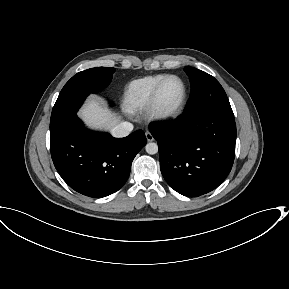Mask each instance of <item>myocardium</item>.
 <instances>
[{
	"label": "myocardium",
	"mask_w": 289,
	"mask_h": 289,
	"mask_svg": "<svg viewBox=\"0 0 289 289\" xmlns=\"http://www.w3.org/2000/svg\"><path fill=\"white\" fill-rule=\"evenodd\" d=\"M170 79H176L178 80L181 85H182V97L180 99V101L173 107L171 108H164L161 104H160V95H161V91L162 88L164 86V84L170 80ZM187 95H188V91H187V86L185 81L177 76V75H167L165 76L155 87L149 105L147 107V113L149 115V117L153 120L156 121H168L171 119L176 118L178 115H180V113L182 112L186 101H187Z\"/></svg>",
	"instance_id": "obj_1"
}]
</instances>
